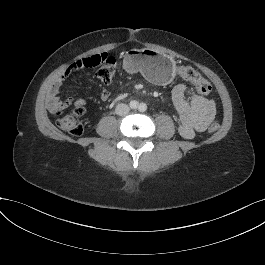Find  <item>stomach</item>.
I'll return each instance as SVG.
<instances>
[{"instance_id": "1", "label": "stomach", "mask_w": 265, "mask_h": 265, "mask_svg": "<svg viewBox=\"0 0 265 265\" xmlns=\"http://www.w3.org/2000/svg\"><path fill=\"white\" fill-rule=\"evenodd\" d=\"M123 65L127 72H140L159 85L168 84L175 77L173 58L152 49L128 50L124 56Z\"/></svg>"}]
</instances>
